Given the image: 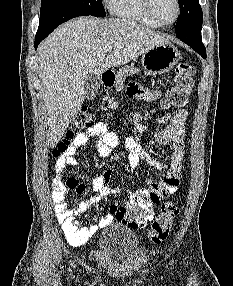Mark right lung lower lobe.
Wrapping results in <instances>:
<instances>
[{"instance_id":"1","label":"right lung lower lobe","mask_w":233,"mask_h":286,"mask_svg":"<svg viewBox=\"0 0 233 286\" xmlns=\"http://www.w3.org/2000/svg\"><path fill=\"white\" fill-rule=\"evenodd\" d=\"M86 14L78 12L76 10L63 8L52 13L45 19L40 20L38 31L35 36V49L38 44L45 39L57 26L60 24L78 16H84Z\"/></svg>"}]
</instances>
